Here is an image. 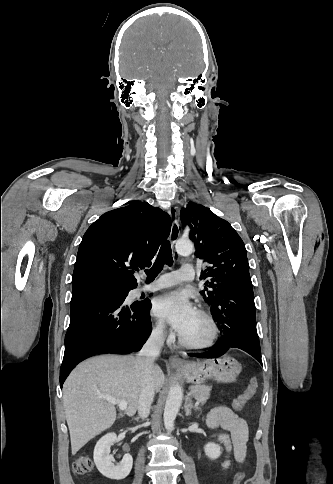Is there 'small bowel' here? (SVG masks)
<instances>
[{"label": "small bowel", "mask_w": 333, "mask_h": 484, "mask_svg": "<svg viewBox=\"0 0 333 484\" xmlns=\"http://www.w3.org/2000/svg\"><path fill=\"white\" fill-rule=\"evenodd\" d=\"M207 425L210 428H221L225 432L217 436V440L222 444L226 452L233 454L238 463L245 460L247 452V442L249 429L246 420L237 415L233 410L226 406L213 408L207 416ZM230 461L225 460L222 464L223 469H228Z\"/></svg>", "instance_id": "small-bowel-1"}]
</instances>
